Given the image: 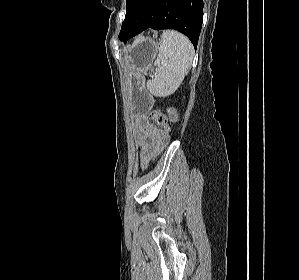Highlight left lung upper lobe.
I'll list each match as a JSON object with an SVG mask.
<instances>
[{
    "label": "left lung upper lobe",
    "instance_id": "1",
    "mask_svg": "<svg viewBox=\"0 0 299 280\" xmlns=\"http://www.w3.org/2000/svg\"><path fill=\"white\" fill-rule=\"evenodd\" d=\"M132 1L133 0H126V17H125V20L122 23V28H121L120 34H121V32H122V30L124 28V25L126 23L127 17L129 15L130 10H131V3H132ZM120 34H119V36H120Z\"/></svg>",
    "mask_w": 299,
    "mask_h": 280
}]
</instances>
